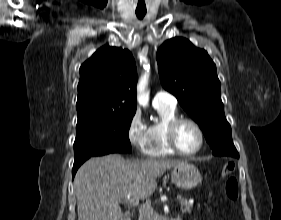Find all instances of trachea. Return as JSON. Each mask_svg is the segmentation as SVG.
Here are the masks:
<instances>
[{
  "label": "trachea",
  "mask_w": 281,
  "mask_h": 220,
  "mask_svg": "<svg viewBox=\"0 0 281 220\" xmlns=\"http://www.w3.org/2000/svg\"><path fill=\"white\" fill-rule=\"evenodd\" d=\"M146 14V10H136V15L139 19H142Z\"/></svg>",
  "instance_id": "obj_1"
}]
</instances>
